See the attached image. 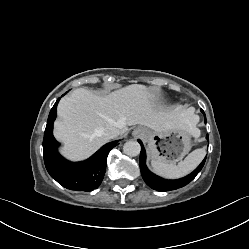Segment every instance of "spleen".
Returning a JSON list of instances; mask_svg holds the SVG:
<instances>
[{
  "label": "spleen",
  "instance_id": "3e777b00",
  "mask_svg": "<svg viewBox=\"0 0 249 249\" xmlns=\"http://www.w3.org/2000/svg\"><path fill=\"white\" fill-rule=\"evenodd\" d=\"M206 155L204 148L192 151L183 161L177 165L174 163H166L159 160H152L151 166L153 170L160 176L165 178H180L193 171L203 160Z\"/></svg>",
  "mask_w": 249,
  "mask_h": 249
}]
</instances>
